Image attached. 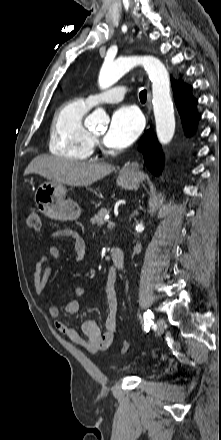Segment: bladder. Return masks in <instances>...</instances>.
Listing matches in <instances>:
<instances>
[{
    "instance_id": "obj_1",
    "label": "bladder",
    "mask_w": 221,
    "mask_h": 440,
    "mask_svg": "<svg viewBox=\"0 0 221 440\" xmlns=\"http://www.w3.org/2000/svg\"><path fill=\"white\" fill-rule=\"evenodd\" d=\"M127 369L128 370H133V371H138V370H141L138 366H137V364H135V363H130V364H128L127 365Z\"/></svg>"
}]
</instances>
